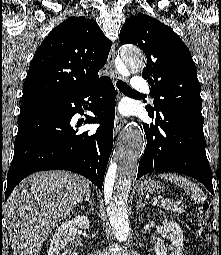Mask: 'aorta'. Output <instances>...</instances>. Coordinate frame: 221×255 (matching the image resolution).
Here are the masks:
<instances>
[{
  "label": "aorta",
  "mask_w": 221,
  "mask_h": 255,
  "mask_svg": "<svg viewBox=\"0 0 221 255\" xmlns=\"http://www.w3.org/2000/svg\"><path fill=\"white\" fill-rule=\"evenodd\" d=\"M121 58L129 68L140 72L145 67L143 53L135 47H124ZM145 139L140 128L134 124L123 135L115 153V161L110 165L104 181V197L107 215L115 236L125 242L129 237L128 198L131 186L138 172V160L143 154Z\"/></svg>",
  "instance_id": "obj_1"
}]
</instances>
